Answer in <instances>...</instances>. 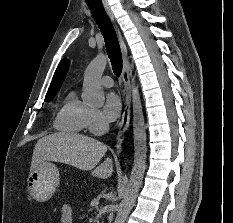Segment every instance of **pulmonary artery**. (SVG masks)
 I'll list each match as a JSON object with an SVG mask.
<instances>
[{"label": "pulmonary artery", "instance_id": "1", "mask_svg": "<svg viewBox=\"0 0 233 223\" xmlns=\"http://www.w3.org/2000/svg\"><path fill=\"white\" fill-rule=\"evenodd\" d=\"M102 84L104 85V87L109 88L113 84V79L111 77H109V76H104L102 78Z\"/></svg>", "mask_w": 233, "mask_h": 223}]
</instances>
